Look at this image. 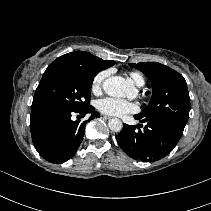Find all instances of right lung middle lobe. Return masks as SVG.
<instances>
[{"instance_id": "right-lung-middle-lobe-1", "label": "right lung middle lobe", "mask_w": 211, "mask_h": 211, "mask_svg": "<svg viewBox=\"0 0 211 211\" xmlns=\"http://www.w3.org/2000/svg\"><path fill=\"white\" fill-rule=\"evenodd\" d=\"M100 70L53 62L36 89L32 111H81L90 106L91 86Z\"/></svg>"}]
</instances>
